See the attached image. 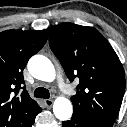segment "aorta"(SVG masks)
<instances>
[{"label":"aorta","mask_w":127,"mask_h":127,"mask_svg":"<svg viewBox=\"0 0 127 127\" xmlns=\"http://www.w3.org/2000/svg\"><path fill=\"white\" fill-rule=\"evenodd\" d=\"M30 74L40 80H50L53 77V66L50 60L43 55H35L28 62ZM53 112L60 121L69 120L72 116V105L66 99L56 100Z\"/></svg>","instance_id":"762f6f07"}]
</instances>
